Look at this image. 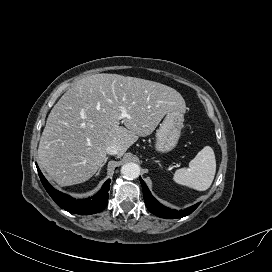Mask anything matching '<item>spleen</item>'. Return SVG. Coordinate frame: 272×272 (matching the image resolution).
<instances>
[{
    "instance_id": "1",
    "label": "spleen",
    "mask_w": 272,
    "mask_h": 272,
    "mask_svg": "<svg viewBox=\"0 0 272 272\" xmlns=\"http://www.w3.org/2000/svg\"><path fill=\"white\" fill-rule=\"evenodd\" d=\"M216 172V160L211 147L205 146L190 161L189 168L176 170L173 180L180 185L193 188L198 191L207 190L214 179Z\"/></svg>"
}]
</instances>
